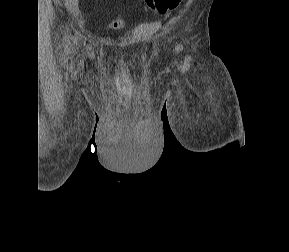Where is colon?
<instances>
[{"label":"colon","mask_w":289,"mask_h":252,"mask_svg":"<svg viewBox=\"0 0 289 252\" xmlns=\"http://www.w3.org/2000/svg\"><path fill=\"white\" fill-rule=\"evenodd\" d=\"M180 2L181 0H143V5L156 13L163 14L176 9Z\"/></svg>","instance_id":"5ec220e1"}]
</instances>
